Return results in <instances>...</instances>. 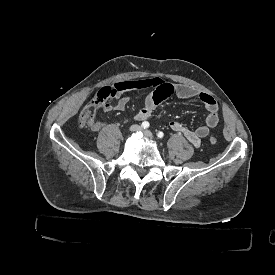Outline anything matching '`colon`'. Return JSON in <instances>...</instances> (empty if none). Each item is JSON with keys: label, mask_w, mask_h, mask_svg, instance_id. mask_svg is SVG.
Masks as SVG:
<instances>
[{"label": "colon", "mask_w": 275, "mask_h": 275, "mask_svg": "<svg viewBox=\"0 0 275 275\" xmlns=\"http://www.w3.org/2000/svg\"><path fill=\"white\" fill-rule=\"evenodd\" d=\"M105 112V103L100 99H97L93 104H91L87 109H85L80 116L81 126L86 125L89 122H97L98 118ZM210 144L217 143L216 136L209 137Z\"/></svg>", "instance_id": "1"}]
</instances>
